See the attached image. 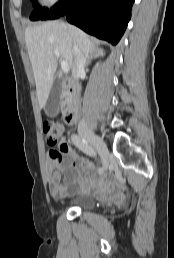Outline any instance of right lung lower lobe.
Masks as SVG:
<instances>
[{
	"mask_svg": "<svg viewBox=\"0 0 174 258\" xmlns=\"http://www.w3.org/2000/svg\"><path fill=\"white\" fill-rule=\"evenodd\" d=\"M135 0H61L41 20L67 13L68 22L113 45L123 35Z\"/></svg>",
	"mask_w": 174,
	"mask_h": 258,
	"instance_id": "1",
	"label": "right lung lower lobe"
}]
</instances>
